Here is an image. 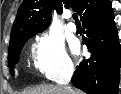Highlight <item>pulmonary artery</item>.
Returning a JSON list of instances; mask_svg holds the SVG:
<instances>
[{"mask_svg": "<svg viewBox=\"0 0 121 94\" xmlns=\"http://www.w3.org/2000/svg\"><path fill=\"white\" fill-rule=\"evenodd\" d=\"M70 16H71V15L68 14V17H70ZM67 28H68V30L71 31V32H75V31L77 30L76 25H75L73 22H69V23L67 24Z\"/></svg>", "mask_w": 121, "mask_h": 94, "instance_id": "1", "label": "pulmonary artery"}]
</instances>
